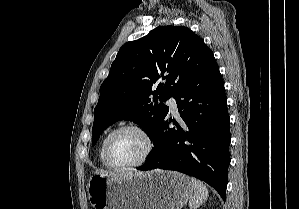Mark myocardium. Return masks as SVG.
Instances as JSON below:
<instances>
[{"instance_id": "1", "label": "myocardium", "mask_w": 299, "mask_h": 209, "mask_svg": "<svg viewBox=\"0 0 299 209\" xmlns=\"http://www.w3.org/2000/svg\"><path fill=\"white\" fill-rule=\"evenodd\" d=\"M124 131H134V132L138 133L139 135H141V137L145 141L146 147H145L144 153L137 161L127 164V165H115L111 162V159H110L111 145H112L114 138L118 134H120ZM154 147H155L154 138H153L152 134L145 127H143L142 125L136 124V123L125 124V125H122V126L116 128L109 135V137L106 141V144H105L104 160H105L106 166L113 170L124 171V170L134 169V168L142 166L143 164H145L148 161V159L150 158V156L154 150Z\"/></svg>"}]
</instances>
